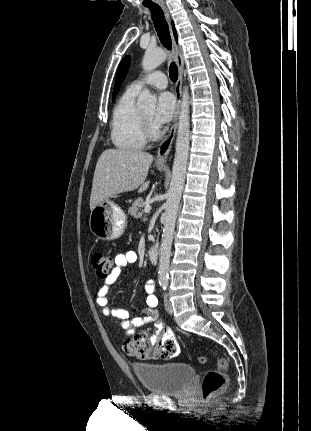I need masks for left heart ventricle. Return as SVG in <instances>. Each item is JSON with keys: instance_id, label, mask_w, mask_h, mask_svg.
<instances>
[{"instance_id": "left-heart-ventricle-1", "label": "left heart ventricle", "mask_w": 311, "mask_h": 431, "mask_svg": "<svg viewBox=\"0 0 311 431\" xmlns=\"http://www.w3.org/2000/svg\"><path fill=\"white\" fill-rule=\"evenodd\" d=\"M143 114L145 115V117H146L147 119H149V120H151V121H152V118H153V111L145 112V113H143Z\"/></svg>"}]
</instances>
